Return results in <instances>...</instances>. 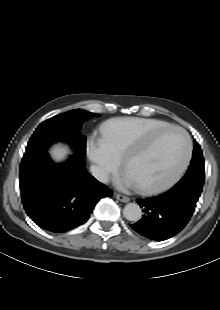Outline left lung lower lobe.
I'll use <instances>...</instances> for the list:
<instances>
[{
	"instance_id": "left-lung-lower-lobe-1",
	"label": "left lung lower lobe",
	"mask_w": 220,
	"mask_h": 310,
	"mask_svg": "<svg viewBox=\"0 0 220 310\" xmlns=\"http://www.w3.org/2000/svg\"><path fill=\"white\" fill-rule=\"evenodd\" d=\"M201 191L195 185L177 183L163 194L137 199L144 215L131 227L141 235L158 241L176 235L190 220Z\"/></svg>"
}]
</instances>
